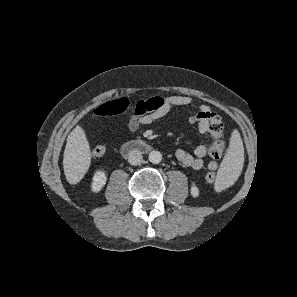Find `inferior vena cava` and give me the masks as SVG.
Listing matches in <instances>:
<instances>
[{"mask_svg": "<svg viewBox=\"0 0 297 297\" xmlns=\"http://www.w3.org/2000/svg\"><path fill=\"white\" fill-rule=\"evenodd\" d=\"M143 160V156L141 155V153L137 150H132L129 154H128V162L131 165H139L141 164Z\"/></svg>", "mask_w": 297, "mask_h": 297, "instance_id": "602c4592", "label": "inferior vena cava"}]
</instances>
